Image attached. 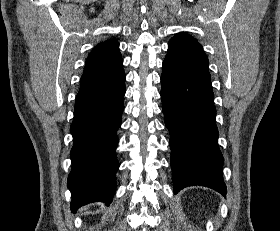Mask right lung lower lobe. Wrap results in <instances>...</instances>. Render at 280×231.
Listing matches in <instances>:
<instances>
[{
	"instance_id": "1",
	"label": "right lung lower lobe",
	"mask_w": 280,
	"mask_h": 231,
	"mask_svg": "<svg viewBox=\"0 0 280 231\" xmlns=\"http://www.w3.org/2000/svg\"><path fill=\"white\" fill-rule=\"evenodd\" d=\"M125 85L86 101H75L70 127L73 147L72 170L68 176L71 211L88 203L109 205L116 189L119 163L115 149L117 130L124 110Z\"/></svg>"
}]
</instances>
